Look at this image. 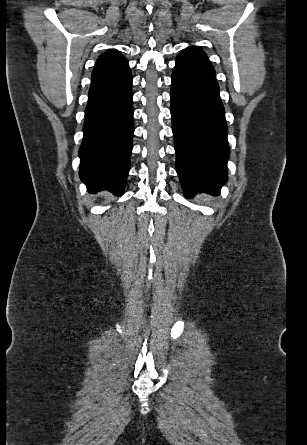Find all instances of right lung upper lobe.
<instances>
[{"instance_id": "right-lung-upper-lobe-1", "label": "right lung upper lobe", "mask_w": 307, "mask_h": 445, "mask_svg": "<svg viewBox=\"0 0 307 445\" xmlns=\"http://www.w3.org/2000/svg\"><path fill=\"white\" fill-rule=\"evenodd\" d=\"M127 62L126 58L121 55L119 51L113 49L109 50L98 58L92 76L110 72Z\"/></svg>"}]
</instances>
